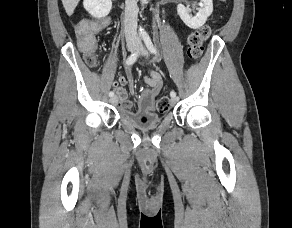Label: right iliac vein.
<instances>
[{
    "instance_id": "right-iliac-vein-1",
    "label": "right iliac vein",
    "mask_w": 292,
    "mask_h": 228,
    "mask_svg": "<svg viewBox=\"0 0 292 228\" xmlns=\"http://www.w3.org/2000/svg\"><path fill=\"white\" fill-rule=\"evenodd\" d=\"M127 47H128V50H129V51L133 52V51L135 50V48H136V44H135V42L130 41V42L127 43ZM117 101H118V99H117L116 96H113V97L110 99V102H111L112 104H116Z\"/></svg>"
}]
</instances>
